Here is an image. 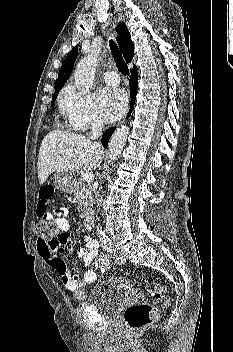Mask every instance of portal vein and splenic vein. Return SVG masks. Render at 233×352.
<instances>
[{
	"instance_id": "18ae733b",
	"label": "portal vein and splenic vein",
	"mask_w": 233,
	"mask_h": 352,
	"mask_svg": "<svg viewBox=\"0 0 233 352\" xmlns=\"http://www.w3.org/2000/svg\"><path fill=\"white\" fill-rule=\"evenodd\" d=\"M82 180L85 182H90L92 180V174L91 173H85L82 176Z\"/></svg>"
}]
</instances>
